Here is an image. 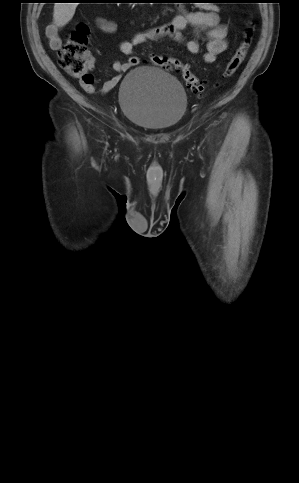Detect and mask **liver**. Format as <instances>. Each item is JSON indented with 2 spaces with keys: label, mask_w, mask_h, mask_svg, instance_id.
<instances>
[{
  "label": "liver",
  "mask_w": 299,
  "mask_h": 483,
  "mask_svg": "<svg viewBox=\"0 0 299 483\" xmlns=\"http://www.w3.org/2000/svg\"><path fill=\"white\" fill-rule=\"evenodd\" d=\"M78 3H55L53 18L57 26L66 25L74 16Z\"/></svg>",
  "instance_id": "liver-1"
}]
</instances>
